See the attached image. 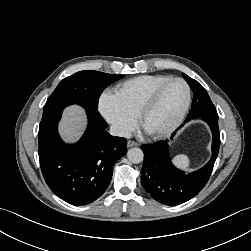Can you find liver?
Here are the masks:
<instances>
[{"label": "liver", "instance_id": "1", "mask_svg": "<svg viewBox=\"0 0 251 251\" xmlns=\"http://www.w3.org/2000/svg\"><path fill=\"white\" fill-rule=\"evenodd\" d=\"M87 118L83 108L77 105L65 109L59 124V132L66 142L77 141L86 127Z\"/></svg>", "mask_w": 251, "mask_h": 251}]
</instances>
